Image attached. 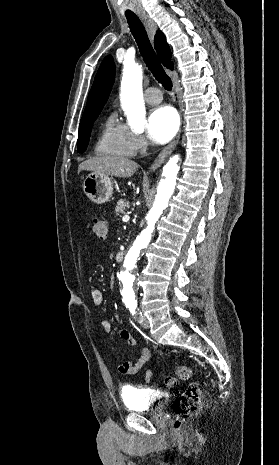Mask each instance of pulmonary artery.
I'll return each instance as SVG.
<instances>
[{
  "instance_id": "e3ab8cb5",
  "label": "pulmonary artery",
  "mask_w": 279,
  "mask_h": 465,
  "mask_svg": "<svg viewBox=\"0 0 279 465\" xmlns=\"http://www.w3.org/2000/svg\"><path fill=\"white\" fill-rule=\"evenodd\" d=\"M144 98L149 104H158L162 101V94L158 88L151 87L146 90Z\"/></svg>"
}]
</instances>
